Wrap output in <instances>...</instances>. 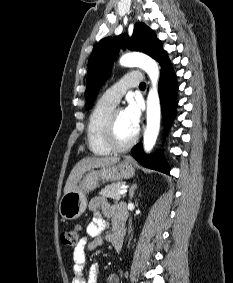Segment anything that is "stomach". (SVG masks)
I'll return each mask as SVG.
<instances>
[{"label":"stomach","mask_w":233,"mask_h":283,"mask_svg":"<svg viewBox=\"0 0 233 283\" xmlns=\"http://www.w3.org/2000/svg\"><path fill=\"white\" fill-rule=\"evenodd\" d=\"M134 174L135 168L129 160L97 170H87L76 187L63 195L59 204L60 215L66 220L77 219L86 210V195L94 190L101 180L119 181L132 178Z\"/></svg>","instance_id":"0dacf381"}]
</instances>
